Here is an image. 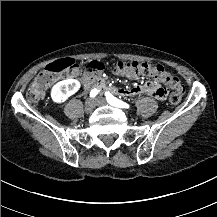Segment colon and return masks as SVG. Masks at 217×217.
Returning a JSON list of instances; mask_svg holds the SVG:
<instances>
[{
  "instance_id": "colon-1",
  "label": "colon",
  "mask_w": 217,
  "mask_h": 217,
  "mask_svg": "<svg viewBox=\"0 0 217 217\" xmlns=\"http://www.w3.org/2000/svg\"><path fill=\"white\" fill-rule=\"evenodd\" d=\"M74 65L72 61L65 59L63 61L51 64L49 70L40 71L38 78L29 87L26 97L30 102L38 101L46 92L47 88L56 86L63 78V74L67 75L72 72ZM118 68L125 71L128 77L135 76L137 78H153L158 83L165 85L166 89L183 87L180 79L161 66H156L147 62L129 61L118 62ZM170 94V102L178 104L183 98L182 95Z\"/></svg>"
}]
</instances>
